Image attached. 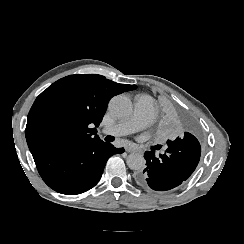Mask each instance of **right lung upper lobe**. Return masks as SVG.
Segmentation results:
<instances>
[{
    "instance_id": "right-lung-upper-lobe-1",
    "label": "right lung upper lobe",
    "mask_w": 244,
    "mask_h": 244,
    "mask_svg": "<svg viewBox=\"0 0 244 244\" xmlns=\"http://www.w3.org/2000/svg\"><path fill=\"white\" fill-rule=\"evenodd\" d=\"M136 87L97 74L70 75L56 81L29 111L25 135L31 153L100 139L95 127L110 98Z\"/></svg>"
}]
</instances>
